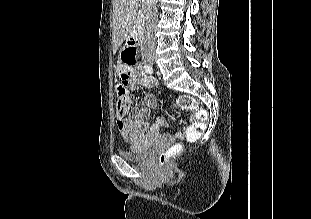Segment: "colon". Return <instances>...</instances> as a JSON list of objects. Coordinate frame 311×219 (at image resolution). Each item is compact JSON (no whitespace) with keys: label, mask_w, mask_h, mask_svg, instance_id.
Segmentation results:
<instances>
[{"label":"colon","mask_w":311,"mask_h":219,"mask_svg":"<svg viewBox=\"0 0 311 219\" xmlns=\"http://www.w3.org/2000/svg\"><path fill=\"white\" fill-rule=\"evenodd\" d=\"M127 63L135 64L136 56L128 53ZM128 82L126 76L122 75L117 81V104H116V117L118 121L124 120L128 109H129V98L127 95ZM179 106L186 111H191L193 113L192 122L190 126L186 129L185 134L188 141H196L199 136L203 133L205 129V124L208 118L207 111L200 108L197 101L189 96L182 95L179 98ZM180 151V145L175 144L171 146L168 150L161 153L159 162L161 167H166L168 161L178 154Z\"/></svg>","instance_id":"colon-1"}]
</instances>
